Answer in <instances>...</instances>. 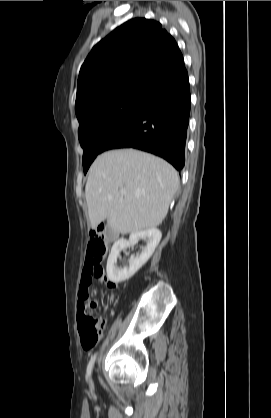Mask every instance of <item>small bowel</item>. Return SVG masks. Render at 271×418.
<instances>
[{
	"label": "small bowel",
	"instance_id": "1",
	"mask_svg": "<svg viewBox=\"0 0 271 418\" xmlns=\"http://www.w3.org/2000/svg\"><path fill=\"white\" fill-rule=\"evenodd\" d=\"M86 276H87V269H86V266H85V268L83 269V272H82L81 285H80V290H79V295H78L79 296V302H78L79 312L81 310L85 309V308L92 311V309L94 307H96V305H97L96 300H88V301L83 300V293L90 285V283L87 284L86 281H85ZM99 281L105 283L108 287H111V288L115 287V284L113 282L107 280L106 277H104V279L103 278L99 279Z\"/></svg>",
	"mask_w": 271,
	"mask_h": 418
}]
</instances>
